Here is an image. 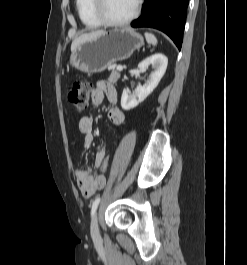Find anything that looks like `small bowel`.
Segmentation results:
<instances>
[{
	"instance_id": "small-bowel-1",
	"label": "small bowel",
	"mask_w": 247,
	"mask_h": 265,
	"mask_svg": "<svg viewBox=\"0 0 247 265\" xmlns=\"http://www.w3.org/2000/svg\"><path fill=\"white\" fill-rule=\"evenodd\" d=\"M107 98L110 103L113 105L117 102V93L114 87L104 81H100L97 83L93 93H92V105L94 107L99 106L104 98ZM108 118L110 122L114 125H122L125 122V114L124 112L113 106L109 113ZM93 127V118L92 116H84L79 121V130L84 135L83 138V147L88 149L92 146L94 142V135L92 133ZM106 155V148L103 146L100 148L95 156V166L99 168L103 158ZM76 180L77 186L82 193V195L86 198L91 197L97 191L101 190L105 186V178H101L97 175L92 174V172L88 169L79 168L76 171Z\"/></svg>"
}]
</instances>
